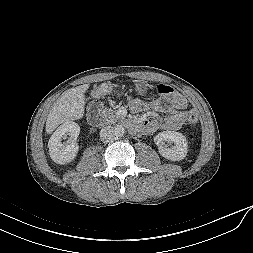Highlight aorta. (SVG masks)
<instances>
[{"instance_id": "1", "label": "aorta", "mask_w": 253, "mask_h": 253, "mask_svg": "<svg viewBox=\"0 0 253 253\" xmlns=\"http://www.w3.org/2000/svg\"><path fill=\"white\" fill-rule=\"evenodd\" d=\"M113 130H114V135L116 137H122L125 133V129L122 125L115 126Z\"/></svg>"}]
</instances>
